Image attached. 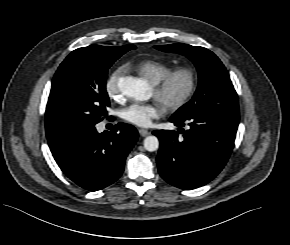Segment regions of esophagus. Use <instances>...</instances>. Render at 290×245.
Returning a JSON list of instances; mask_svg holds the SVG:
<instances>
[{"label": "esophagus", "mask_w": 290, "mask_h": 245, "mask_svg": "<svg viewBox=\"0 0 290 245\" xmlns=\"http://www.w3.org/2000/svg\"><path fill=\"white\" fill-rule=\"evenodd\" d=\"M139 134L143 137L150 135V132L146 129H139Z\"/></svg>", "instance_id": "obj_1"}]
</instances>
